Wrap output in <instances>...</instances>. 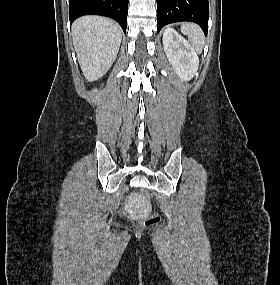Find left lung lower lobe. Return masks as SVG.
Masks as SVG:
<instances>
[{
    "label": "left lung lower lobe",
    "mask_w": 280,
    "mask_h": 285,
    "mask_svg": "<svg viewBox=\"0 0 280 285\" xmlns=\"http://www.w3.org/2000/svg\"><path fill=\"white\" fill-rule=\"evenodd\" d=\"M208 0H157V32L167 24L191 21L208 32Z\"/></svg>",
    "instance_id": "obj_1"
}]
</instances>
